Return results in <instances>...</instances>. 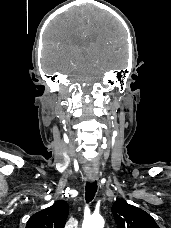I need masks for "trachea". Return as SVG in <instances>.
<instances>
[{"label":"trachea","instance_id":"3493384b","mask_svg":"<svg viewBox=\"0 0 171 228\" xmlns=\"http://www.w3.org/2000/svg\"><path fill=\"white\" fill-rule=\"evenodd\" d=\"M85 200L87 203L91 202L94 197H95V194L97 192V182L94 181V182H88L86 183V187H85Z\"/></svg>","mask_w":171,"mask_h":228}]
</instances>
